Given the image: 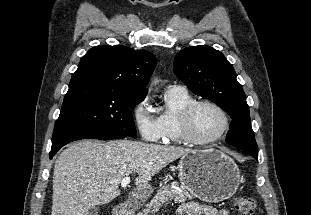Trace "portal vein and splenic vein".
<instances>
[{"instance_id":"18ae733b","label":"portal vein and splenic vein","mask_w":311,"mask_h":215,"mask_svg":"<svg viewBox=\"0 0 311 215\" xmlns=\"http://www.w3.org/2000/svg\"><path fill=\"white\" fill-rule=\"evenodd\" d=\"M130 184V177L126 176L121 180V187L126 188Z\"/></svg>"}]
</instances>
